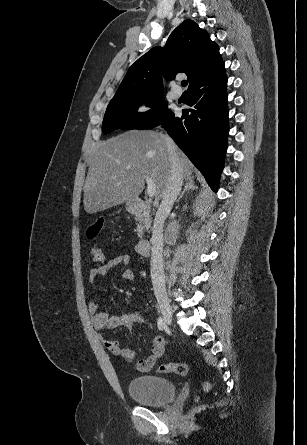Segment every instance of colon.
Returning a JSON list of instances; mask_svg holds the SVG:
<instances>
[{"label": "colon", "instance_id": "1", "mask_svg": "<svg viewBox=\"0 0 307 445\" xmlns=\"http://www.w3.org/2000/svg\"><path fill=\"white\" fill-rule=\"evenodd\" d=\"M104 226V220L99 219L95 223H93L87 231V235L89 238L96 237ZM91 259L94 265L99 268L105 265L107 261V251L99 246H93L90 249ZM158 371L160 373H173L177 375H186L188 372V366L185 363H167L159 366ZM211 385L209 382H203V390L209 391Z\"/></svg>", "mask_w": 307, "mask_h": 445}]
</instances>
